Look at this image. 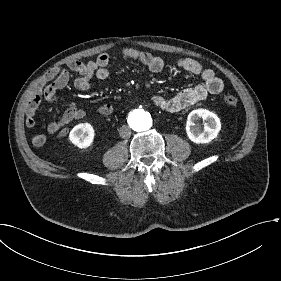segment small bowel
<instances>
[{"label": "small bowel", "mask_w": 281, "mask_h": 281, "mask_svg": "<svg viewBox=\"0 0 281 281\" xmlns=\"http://www.w3.org/2000/svg\"><path fill=\"white\" fill-rule=\"evenodd\" d=\"M122 56L126 59L142 63L153 73L161 72L165 66V62L161 57L135 48H124ZM109 63L110 56L106 53L100 54L92 61L81 62L74 60L70 62L68 64L69 70L78 74L74 81L75 88L81 91L89 89L93 76L99 79H106L109 75ZM177 66L189 74L199 76L202 79V83L170 97L153 95L151 98L152 103L160 110L170 114L179 113L205 99L207 96L218 95L223 91L224 82L212 69L206 68L190 58L179 59ZM69 81L70 73L66 69L55 67L45 73L37 84L35 93L25 109V123L28 128H34L36 125L35 115L42 96L49 102H56L58 100L57 92L66 87ZM97 112L100 115L109 116L113 114L114 107L109 103H105L97 108ZM85 114L84 109L78 107L75 103H70L61 118L47 126L48 134L58 133L70 122L83 118ZM45 141L46 137L42 133H37L32 137L33 144L38 147L43 146Z\"/></svg>", "instance_id": "1"}]
</instances>
